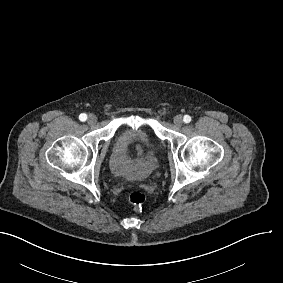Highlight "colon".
I'll use <instances>...</instances> for the list:
<instances>
[{
  "mask_svg": "<svg viewBox=\"0 0 283 283\" xmlns=\"http://www.w3.org/2000/svg\"><path fill=\"white\" fill-rule=\"evenodd\" d=\"M129 201L135 208H141L146 202V196L139 191H135L129 195Z\"/></svg>",
  "mask_w": 283,
  "mask_h": 283,
  "instance_id": "obj_1",
  "label": "colon"
}]
</instances>
